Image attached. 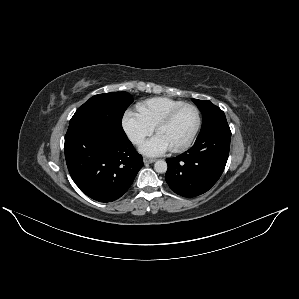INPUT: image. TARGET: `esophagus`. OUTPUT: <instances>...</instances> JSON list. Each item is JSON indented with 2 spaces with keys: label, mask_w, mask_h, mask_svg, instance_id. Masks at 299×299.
Instances as JSON below:
<instances>
[{
  "label": "esophagus",
  "mask_w": 299,
  "mask_h": 299,
  "mask_svg": "<svg viewBox=\"0 0 299 299\" xmlns=\"http://www.w3.org/2000/svg\"><path fill=\"white\" fill-rule=\"evenodd\" d=\"M143 161H144V163H146V164H151V163L155 162L156 159H154V158H149V157H144Z\"/></svg>",
  "instance_id": "esophagus-1"
}]
</instances>
